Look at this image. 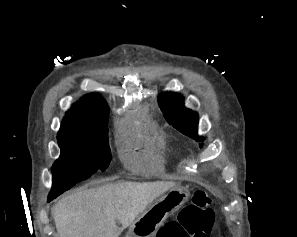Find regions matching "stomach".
Returning a JSON list of instances; mask_svg holds the SVG:
<instances>
[{
	"instance_id": "obj_1",
	"label": "stomach",
	"mask_w": 297,
	"mask_h": 237,
	"mask_svg": "<svg viewBox=\"0 0 297 237\" xmlns=\"http://www.w3.org/2000/svg\"><path fill=\"white\" fill-rule=\"evenodd\" d=\"M189 197L181 186L171 188L165 195L149 205L130 225L126 237H154L167 217L177 211Z\"/></svg>"
}]
</instances>
